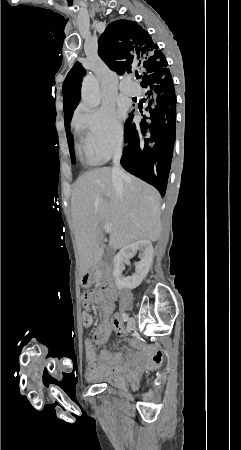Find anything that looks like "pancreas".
<instances>
[{"mask_svg":"<svg viewBox=\"0 0 241 450\" xmlns=\"http://www.w3.org/2000/svg\"><path fill=\"white\" fill-rule=\"evenodd\" d=\"M97 274H98V276H97L98 282H96V284H97V286H100V284H102V282L100 280L102 272H97Z\"/></svg>","mask_w":241,"mask_h":450,"instance_id":"obj_1","label":"pancreas"}]
</instances>
